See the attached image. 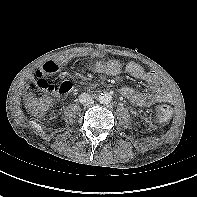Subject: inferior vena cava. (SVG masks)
<instances>
[{
	"label": "inferior vena cava",
	"mask_w": 197,
	"mask_h": 197,
	"mask_svg": "<svg viewBox=\"0 0 197 197\" xmlns=\"http://www.w3.org/2000/svg\"><path fill=\"white\" fill-rule=\"evenodd\" d=\"M79 101H80L81 104H90L91 101H92V97L88 93H82L79 96Z\"/></svg>",
	"instance_id": "1"
}]
</instances>
